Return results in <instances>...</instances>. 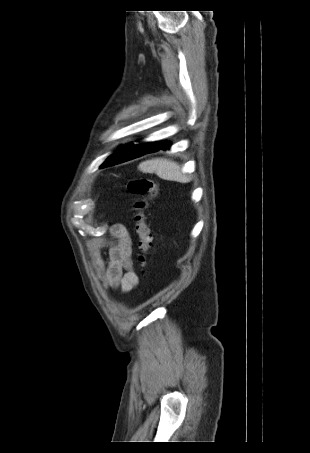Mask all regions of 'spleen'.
Segmentation results:
<instances>
[{"instance_id": "3e777b00", "label": "spleen", "mask_w": 310, "mask_h": 453, "mask_svg": "<svg viewBox=\"0 0 310 453\" xmlns=\"http://www.w3.org/2000/svg\"><path fill=\"white\" fill-rule=\"evenodd\" d=\"M139 170L145 173H155L161 179L168 181L186 183L191 180L190 176L182 172V169L178 163L163 158H156L142 162L139 165Z\"/></svg>"}]
</instances>
